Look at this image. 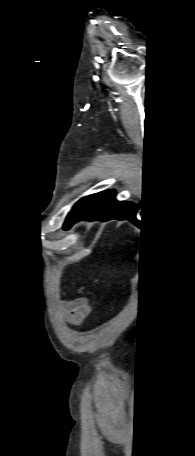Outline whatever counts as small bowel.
<instances>
[{
	"label": "small bowel",
	"mask_w": 195,
	"mask_h": 456,
	"mask_svg": "<svg viewBox=\"0 0 195 456\" xmlns=\"http://www.w3.org/2000/svg\"><path fill=\"white\" fill-rule=\"evenodd\" d=\"M91 312L88 300L83 297L68 298L62 301V313L72 325L80 324Z\"/></svg>",
	"instance_id": "obj_1"
}]
</instances>
